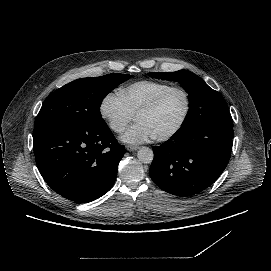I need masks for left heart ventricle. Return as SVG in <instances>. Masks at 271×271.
I'll return each mask as SVG.
<instances>
[{
  "label": "left heart ventricle",
  "instance_id": "1",
  "mask_svg": "<svg viewBox=\"0 0 271 271\" xmlns=\"http://www.w3.org/2000/svg\"><path fill=\"white\" fill-rule=\"evenodd\" d=\"M184 111L183 94L180 91H173L155 111L137 117L136 122L145 123L155 138L170 132L179 123Z\"/></svg>",
  "mask_w": 271,
  "mask_h": 271
}]
</instances>
